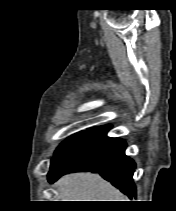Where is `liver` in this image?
Returning <instances> with one entry per match:
<instances>
[{"label": "liver", "mask_w": 176, "mask_h": 211, "mask_svg": "<svg viewBox=\"0 0 176 211\" xmlns=\"http://www.w3.org/2000/svg\"><path fill=\"white\" fill-rule=\"evenodd\" d=\"M57 186L61 201H127L118 189L98 174H69L62 177Z\"/></svg>", "instance_id": "6515ba94"}]
</instances>
